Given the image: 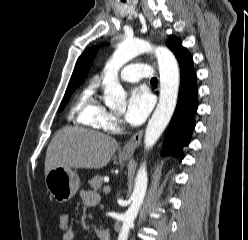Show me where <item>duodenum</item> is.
<instances>
[{
    "label": "duodenum",
    "mask_w": 248,
    "mask_h": 240,
    "mask_svg": "<svg viewBox=\"0 0 248 240\" xmlns=\"http://www.w3.org/2000/svg\"><path fill=\"white\" fill-rule=\"evenodd\" d=\"M99 239L100 240H111V235L108 231H101L99 232Z\"/></svg>",
    "instance_id": "410a0bca"
}]
</instances>
